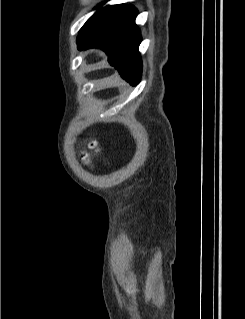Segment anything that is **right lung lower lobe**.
Masks as SVG:
<instances>
[{
    "instance_id": "right-lung-lower-lobe-1",
    "label": "right lung lower lobe",
    "mask_w": 245,
    "mask_h": 319,
    "mask_svg": "<svg viewBox=\"0 0 245 319\" xmlns=\"http://www.w3.org/2000/svg\"><path fill=\"white\" fill-rule=\"evenodd\" d=\"M136 16V8L125 5L95 26L81 30L78 36L81 49L102 48L110 64L133 86L139 83L142 72L138 51L141 34L135 24Z\"/></svg>"
}]
</instances>
